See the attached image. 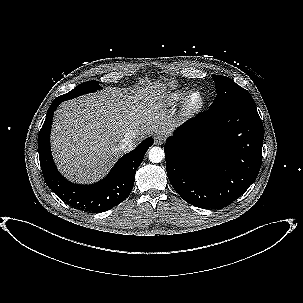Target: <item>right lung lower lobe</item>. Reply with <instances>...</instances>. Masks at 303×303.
Listing matches in <instances>:
<instances>
[{
    "mask_svg": "<svg viewBox=\"0 0 303 303\" xmlns=\"http://www.w3.org/2000/svg\"><path fill=\"white\" fill-rule=\"evenodd\" d=\"M65 101L57 97L48 109L38 136V151L44 180L48 187L68 205L85 212H104L124 201L130 194L135 173L148 148L153 144L149 137L133 151L123 155L100 182L92 185H76L66 180L57 170L50 149V131L53 114Z\"/></svg>",
    "mask_w": 303,
    "mask_h": 303,
    "instance_id": "obj_1",
    "label": "right lung lower lobe"
}]
</instances>
